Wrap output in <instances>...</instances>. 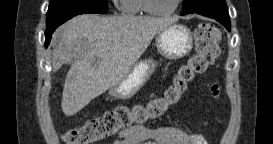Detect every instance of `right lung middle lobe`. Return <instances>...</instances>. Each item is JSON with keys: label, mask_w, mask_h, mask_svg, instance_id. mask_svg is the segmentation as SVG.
Wrapping results in <instances>:
<instances>
[{"label": "right lung middle lobe", "mask_w": 273, "mask_h": 144, "mask_svg": "<svg viewBox=\"0 0 273 144\" xmlns=\"http://www.w3.org/2000/svg\"><path fill=\"white\" fill-rule=\"evenodd\" d=\"M107 0H50L47 11L46 29L53 26L55 20L74 11L91 10L95 13H106Z\"/></svg>", "instance_id": "right-lung-middle-lobe-1"}]
</instances>
